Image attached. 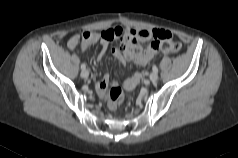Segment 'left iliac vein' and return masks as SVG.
<instances>
[{
  "instance_id": "obj_1",
  "label": "left iliac vein",
  "mask_w": 238,
  "mask_h": 158,
  "mask_svg": "<svg viewBox=\"0 0 238 158\" xmlns=\"http://www.w3.org/2000/svg\"><path fill=\"white\" fill-rule=\"evenodd\" d=\"M149 78H150V80H151L152 82H156V81L158 80V74H157V72H154V71H153V72L150 74Z\"/></svg>"
}]
</instances>
